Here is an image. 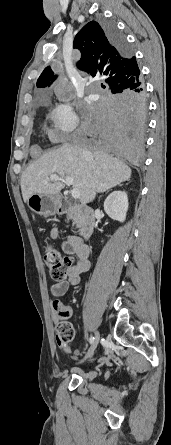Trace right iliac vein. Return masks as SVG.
Returning <instances> with one entry per match:
<instances>
[{
	"instance_id": "obj_1",
	"label": "right iliac vein",
	"mask_w": 171,
	"mask_h": 445,
	"mask_svg": "<svg viewBox=\"0 0 171 445\" xmlns=\"http://www.w3.org/2000/svg\"><path fill=\"white\" fill-rule=\"evenodd\" d=\"M99 339H100V334H99V332L97 331V332L95 333L94 341H93V343L91 344V347H90L88 353L86 354V356H85L79 363L84 362L86 359H88L89 357H91V356L93 355L94 350L96 349V347H97V345H98Z\"/></svg>"
}]
</instances>
